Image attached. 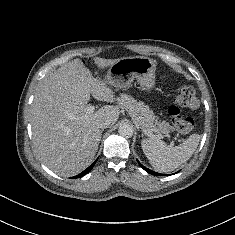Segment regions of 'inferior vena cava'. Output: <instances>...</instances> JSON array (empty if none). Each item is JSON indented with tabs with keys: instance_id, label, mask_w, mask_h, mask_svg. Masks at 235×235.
Segmentation results:
<instances>
[{
	"instance_id": "obj_1",
	"label": "inferior vena cava",
	"mask_w": 235,
	"mask_h": 235,
	"mask_svg": "<svg viewBox=\"0 0 235 235\" xmlns=\"http://www.w3.org/2000/svg\"><path fill=\"white\" fill-rule=\"evenodd\" d=\"M110 125V122L108 120L102 121L98 127L101 129L107 128Z\"/></svg>"
}]
</instances>
